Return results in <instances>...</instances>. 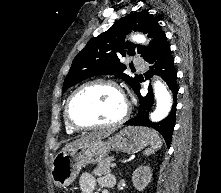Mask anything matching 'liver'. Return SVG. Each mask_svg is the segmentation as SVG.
Here are the masks:
<instances>
[{"instance_id": "6515ba94", "label": "liver", "mask_w": 221, "mask_h": 193, "mask_svg": "<svg viewBox=\"0 0 221 193\" xmlns=\"http://www.w3.org/2000/svg\"><path fill=\"white\" fill-rule=\"evenodd\" d=\"M111 134V131L110 130H99V131H95V132H92L86 136H83L73 142H70L68 144H66L64 146V148L62 149V151H66V150H69L71 148H74V147H78V146H81L85 143H88V142H92V141H95V140H100L102 138H105L107 136H109Z\"/></svg>"}]
</instances>
